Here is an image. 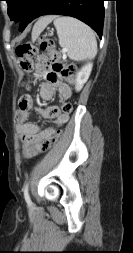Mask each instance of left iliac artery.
I'll list each match as a JSON object with an SVG mask.
<instances>
[{
	"instance_id": "44dca946",
	"label": "left iliac artery",
	"mask_w": 133,
	"mask_h": 253,
	"mask_svg": "<svg viewBox=\"0 0 133 253\" xmlns=\"http://www.w3.org/2000/svg\"><path fill=\"white\" fill-rule=\"evenodd\" d=\"M28 186H29V183L27 182L24 186V197H25V200L26 202L28 203V205L31 204V199H30V196H29V193H28Z\"/></svg>"
}]
</instances>
